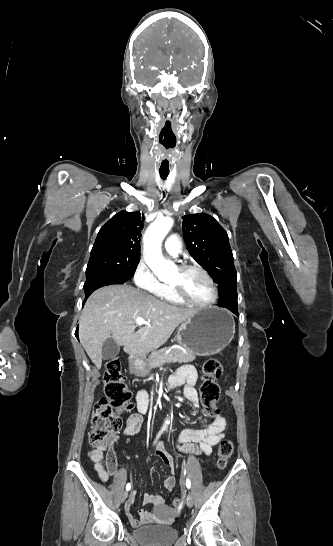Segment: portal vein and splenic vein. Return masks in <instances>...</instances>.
<instances>
[{"mask_svg":"<svg viewBox=\"0 0 333 546\" xmlns=\"http://www.w3.org/2000/svg\"><path fill=\"white\" fill-rule=\"evenodd\" d=\"M149 325V321L145 320L144 318L142 317H137L136 318V326H141V325Z\"/></svg>","mask_w":333,"mask_h":546,"instance_id":"portal-vein-and-splenic-vein-1","label":"portal vein and splenic vein"}]
</instances>
